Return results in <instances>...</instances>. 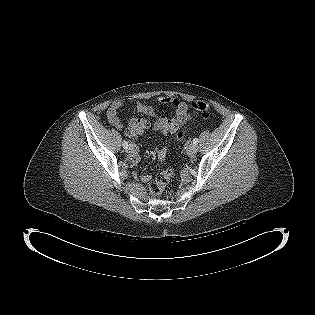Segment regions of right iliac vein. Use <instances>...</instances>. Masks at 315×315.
I'll use <instances>...</instances> for the list:
<instances>
[{"mask_svg":"<svg viewBox=\"0 0 315 315\" xmlns=\"http://www.w3.org/2000/svg\"><path fill=\"white\" fill-rule=\"evenodd\" d=\"M134 150L133 144H129V146L126 148L127 153H132Z\"/></svg>","mask_w":315,"mask_h":315,"instance_id":"63e3f726","label":"right iliac vein"}]
</instances>
